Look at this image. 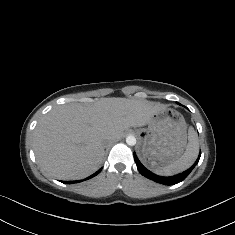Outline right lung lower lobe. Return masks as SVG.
<instances>
[{
  "mask_svg": "<svg viewBox=\"0 0 235 235\" xmlns=\"http://www.w3.org/2000/svg\"><path fill=\"white\" fill-rule=\"evenodd\" d=\"M100 171H101V169L100 170H98L96 173H94L93 175H91V176H89L88 178H86L85 180H87V179H90V178H92V177H94V176H96L98 173H100ZM82 180H79V181H62L63 183H68V184H72V183H77V182H81Z\"/></svg>",
  "mask_w": 235,
  "mask_h": 235,
  "instance_id": "right-lung-lower-lobe-1",
  "label": "right lung lower lobe"
}]
</instances>
